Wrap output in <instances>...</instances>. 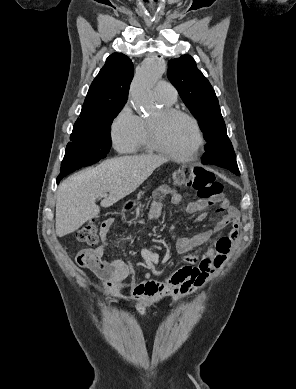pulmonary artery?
Segmentation results:
<instances>
[{
	"instance_id": "e3ab8cb5",
	"label": "pulmonary artery",
	"mask_w": 296,
	"mask_h": 389,
	"mask_svg": "<svg viewBox=\"0 0 296 389\" xmlns=\"http://www.w3.org/2000/svg\"><path fill=\"white\" fill-rule=\"evenodd\" d=\"M157 95L166 101L175 102L177 99V91L175 87L168 81L160 80L155 86Z\"/></svg>"
}]
</instances>
